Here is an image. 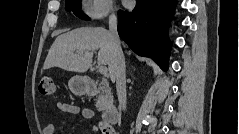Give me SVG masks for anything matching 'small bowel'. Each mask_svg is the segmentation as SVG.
Here are the masks:
<instances>
[{
    "label": "small bowel",
    "mask_w": 239,
    "mask_h": 134,
    "mask_svg": "<svg viewBox=\"0 0 239 134\" xmlns=\"http://www.w3.org/2000/svg\"><path fill=\"white\" fill-rule=\"evenodd\" d=\"M55 108L59 112L70 113V114H81L84 119H91L94 116V111L91 107L69 104L65 102H57ZM44 134H56V126L54 124H48L44 128Z\"/></svg>",
    "instance_id": "small-bowel-1"
}]
</instances>
